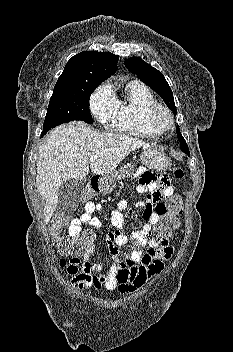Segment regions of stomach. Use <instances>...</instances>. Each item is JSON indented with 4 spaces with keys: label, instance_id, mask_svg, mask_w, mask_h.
<instances>
[{
    "label": "stomach",
    "instance_id": "stomach-1",
    "mask_svg": "<svg viewBox=\"0 0 233 352\" xmlns=\"http://www.w3.org/2000/svg\"><path fill=\"white\" fill-rule=\"evenodd\" d=\"M142 163L152 170H164L169 167L168 157L161 151L155 148H149L141 154ZM117 173L111 172L103 175L99 181V189L102 193H110L116 184Z\"/></svg>",
    "mask_w": 233,
    "mask_h": 352
}]
</instances>
